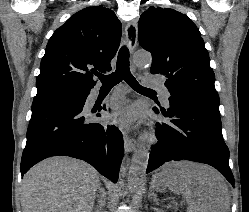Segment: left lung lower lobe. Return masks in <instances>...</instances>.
<instances>
[{"label":"left lung lower lobe","instance_id":"0a47b994","mask_svg":"<svg viewBox=\"0 0 249 212\" xmlns=\"http://www.w3.org/2000/svg\"><path fill=\"white\" fill-rule=\"evenodd\" d=\"M169 103L167 111L153 108L167 120L154 123L159 141L151 151L146 173L169 161L189 160L213 166L234 186L219 105L185 96H171Z\"/></svg>","mask_w":249,"mask_h":212}]
</instances>
